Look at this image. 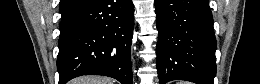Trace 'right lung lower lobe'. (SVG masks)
Masks as SVG:
<instances>
[{"instance_id": "right-lung-lower-lobe-1", "label": "right lung lower lobe", "mask_w": 260, "mask_h": 84, "mask_svg": "<svg viewBox=\"0 0 260 84\" xmlns=\"http://www.w3.org/2000/svg\"><path fill=\"white\" fill-rule=\"evenodd\" d=\"M59 84L81 75H105L132 84V0H89L59 25Z\"/></svg>"}]
</instances>
